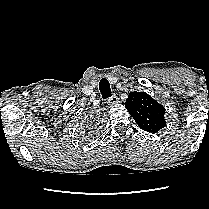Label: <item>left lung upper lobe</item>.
Returning a JSON list of instances; mask_svg holds the SVG:
<instances>
[{
    "mask_svg": "<svg viewBox=\"0 0 209 209\" xmlns=\"http://www.w3.org/2000/svg\"><path fill=\"white\" fill-rule=\"evenodd\" d=\"M125 107L139 127L156 133L166 126L165 108L145 92H131Z\"/></svg>",
    "mask_w": 209,
    "mask_h": 209,
    "instance_id": "1",
    "label": "left lung upper lobe"
}]
</instances>
